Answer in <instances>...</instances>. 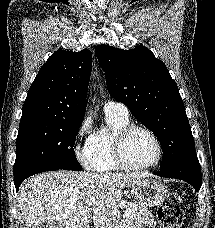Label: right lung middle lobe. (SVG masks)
<instances>
[{"label": "right lung middle lobe", "instance_id": "dd1d6c3e", "mask_svg": "<svg viewBox=\"0 0 215 228\" xmlns=\"http://www.w3.org/2000/svg\"><path fill=\"white\" fill-rule=\"evenodd\" d=\"M81 123L58 122L19 128L14 174L38 167L81 170L73 148Z\"/></svg>", "mask_w": 215, "mask_h": 228}]
</instances>
